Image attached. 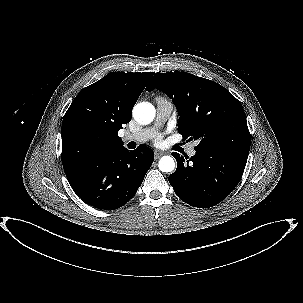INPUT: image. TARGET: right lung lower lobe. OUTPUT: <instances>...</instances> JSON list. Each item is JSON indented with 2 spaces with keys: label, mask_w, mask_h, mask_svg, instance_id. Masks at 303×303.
<instances>
[{
  "label": "right lung lower lobe",
  "mask_w": 303,
  "mask_h": 303,
  "mask_svg": "<svg viewBox=\"0 0 303 303\" xmlns=\"http://www.w3.org/2000/svg\"><path fill=\"white\" fill-rule=\"evenodd\" d=\"M153 161L154 153L149 147L142 144L129 151L123 146L66 176L84 202L114 210L133 198Z\"/></svg>",
  "instance_id": "1"
}]
</instances>
